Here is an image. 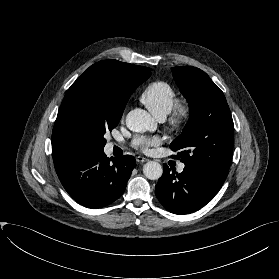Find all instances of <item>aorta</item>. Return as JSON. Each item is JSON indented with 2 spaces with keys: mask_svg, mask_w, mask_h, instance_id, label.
<instances>
[{
  "mask_svg": "<svg viewBox=\"0 0 279 279\" xmlns=\"http://www.w3.org/2000/svg\"><path fill=\"white\" fill-rule=\"evenodd\" d=\"M127 127L134 132L152 131L156 128V123L151 115L140 108L131 110L126 116ZM144 175L150 180H157L162 176V166L155 161L147 162L143 167Z\"/></svg>",
  "mask_w": 279,
  "mask_h": 279,
  "instance_id": "aorta-1",
  "label": "aorta"
}]
</instances>
